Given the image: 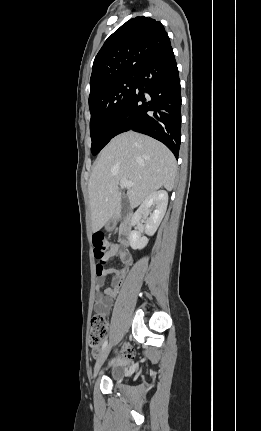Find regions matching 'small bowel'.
<instances>
[{
    "label": "small bowel",
    "mask_w": 261,
    "mask_h": 431,
    "mask_svg": "<svg viewBox=\"0 0 261 431\" xmlns=\"http://www.w3.org/2000/svg\"><path fill=\"white\" fill-rule=\"evenodd\" d=\"M110 255L117 256L120 263L125 266L130 265L132 262L131 255L119 244L114 245ZM125 274L126 270L124 268H104L102 275L97 277L95 284L96 300L94 305V309L96 312L106 314L110 311L113 300L119 292ZM107 276L112 277V285L110 287L103 288L105 284V278Z\"/></svg>",
    "instance_id": "small-bowel-1"
}]
</instances>
